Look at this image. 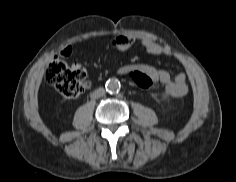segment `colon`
Instances as JSON below:
<instances>
[{"label":"colon","instance_id":"1","mask_svg":"<svg viewBox=\"0 0 236 182\" xmlns=\"http://www.w3.org/2000/svg\"><path fill=\"white\" fill-rule=\"evenodd\" d=\"M130 81L140 89H148L153 81L150 76L136 68L127 71ZM46 80L65 99L78 97L85 89L86 71L79 65L69 66L55 59L47 67Z\"/></svg>","mask_w":236,"mask_h":182}]
</instances>
